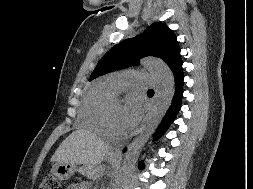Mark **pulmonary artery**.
<instances>
[{"label": "pulmonary artery", "instance_id": "pulmonary-artery-1", "mask_svg": "<svg viewBox=\"0 0 253 189\" xmlns=\"http://www.w3.org/2000/svg\"><path fill=\"white\" fill-rule=\"evenodd\" d=\"M107 84L115 93L127 86L151 87L155 85V79L144 73H120L110 76Z\"/></svg>", "mask_w": 253, "mask_h": 189}]
</instances>
